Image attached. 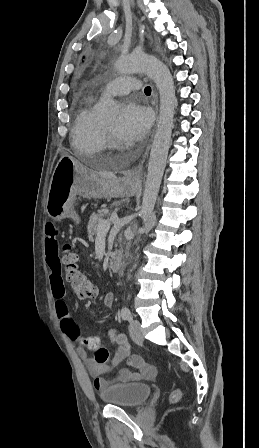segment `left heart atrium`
I'll use <instances>...</instances> for the list:
<instances>
[{
  "mask_svg": "<svg viewBox=\"0 0 259 448\" xmlns=\"http://www.w3.org/2000/svg\"><path fill=\"white\" fill-rule=\"evenodd\" d=\"M149 123L148 110L135 101H127L122 105L116 130L123 140L134 142L144 137Z\"/></svg>",
  "mask_w": 259,
  "mask_h": 448,
  "instance_id": "left-heart-atrium-1",
  "label": "left heart atrium"
}]
</instances>
